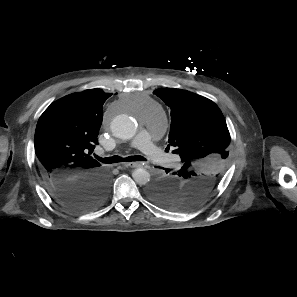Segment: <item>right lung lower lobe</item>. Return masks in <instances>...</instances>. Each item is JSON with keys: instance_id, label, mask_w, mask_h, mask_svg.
<instances>
[{"instance_id": "1", "label": "right lung lower lobe", "mask_w": 297, "mask_h": 297, "mask_svg": "<svg viewBox=\"0 0 297 297\" xmlns=\"http://www.w3.org/2000/svg\"><path fill=\"white\" fill-rule=\"evenodd\" d=\"M43 179L51 197L73 212L94 210L108 195L109 177L102 170L77 178L55 173L50 178Z\"/></svg>"}]
</instances>
